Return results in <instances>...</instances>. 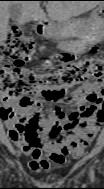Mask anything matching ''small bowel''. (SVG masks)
Wrapping results in <instances>:
<instances>
[{
    "instance_id": "1",
    "label": "small bowel",
    "mask_w": 104,
    "mask_h": 189,
    "mask_svg": "<svg viewBox=\"0 0 104 189\" xmlns=\"http://www.w3.org/2000/svg\"><path fill=\"white\" fill-rule=\"evenodd\" d=\"M54 101L74 102L75 109L66 115L54 108L42 116V99L37 98L26 105L4 100L0 111L9 137L30 158L28 167L34 172L61 165L69 155L80 156L104 120L102 98L92 83Z\"/></svg>"
}]
</instances>
